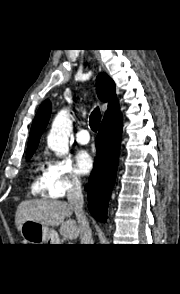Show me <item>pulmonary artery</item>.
<instances>
[{
    "label": "pulmonary artery",
    "mask_w": 180,
    "mask_h": 294,
    "mask_svg": "<svg viewBox=\"0 0 180 294\" xmlns=\"http://www.w3.org/2000/svg\"><path fill=\"white\" fill-rule=\"evenodd\" d=\"M76 141L79 144H87L90 141V135L89 132L85 129L80 130L76 135Z\"/></svg>",
    "instance_id": "e3ab8cb5"
}]
</instances>
